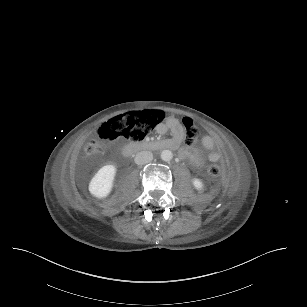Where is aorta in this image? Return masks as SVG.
Returning <instances> with one entry per match:
<instances>
[{
	"label": "aorta",
	"mask_w": 307,
	"mask_h": 307,
	"mask_svg": "<svg viewBox=\"0 0 307 307\" xmlns=\"http://www.w3.org/2000/svg\"><path fill=\"white\" fill-rule=\"evenodd\" d=\"M161 159L163 160V161H165V162H168V161H171L172 160V158H173V153H172V151L171 150H168V149H166V150H163L162 152H161Z\"/></svg>",
	"instance_id": "1"
}]
</instances>
